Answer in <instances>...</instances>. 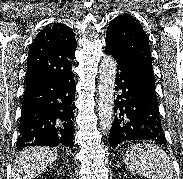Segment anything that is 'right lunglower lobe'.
<instances>
[{
  "mask_svg": "<svg viewBox=\"0 0 183 179\" xmlns=\"http://www.w3.org/2000/svg\"><path fill=\"white\" fill-rule=\"evenodd\" d=\"M74 77L39 78L26 85L22 99L16 150L29 146H64L74 149Z\"/></svg>",
  "mask_w": 183,
  "mask_h": 179,
  "instance_id": "98d812e1",
  "label": "right lung lower lobe"
}]
</instances>
